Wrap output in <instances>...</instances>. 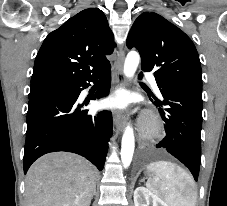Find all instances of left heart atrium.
Segmentation results:
<instances>
[{
    "label": "left heart atrium",
    "instance_id": "1",
    "mask_svg": "<svg viewBox=\"0 0 227 206\" xmlns=\"http://www.w3.org/2000/svg\"><path fill=\"white\" fill-rule=\"evenodd\" d=\"M127 104V97L123 92H115L104 100V105L109 108L122 109Z\"/></svg>",
    "mask_w": 227,
    "mask_h": 206
}]
</instances>
